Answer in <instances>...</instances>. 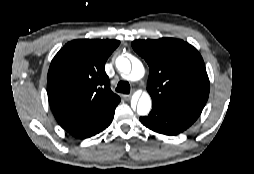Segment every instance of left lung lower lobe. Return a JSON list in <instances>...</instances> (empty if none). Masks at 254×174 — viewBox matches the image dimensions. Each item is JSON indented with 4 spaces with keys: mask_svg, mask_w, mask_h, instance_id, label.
<instances>
[{
    "mask_svg": "<svg viewBox=\"0 0 254 174\" xmlns=\"http://www.w3.org/2000/svg\"><path fill=\"white\" fill-rule=\"evenodd\" d=\"M152 108L148 116L140 118L141 123L157 133L169 136L185 131L199 117L161 103H153Z\"/></svg>",
    "mask_w": 254,
    "mask_h": 174,
    "instance_id": "1",
    "label": "left lung lower lobe"
}]
</instances>
